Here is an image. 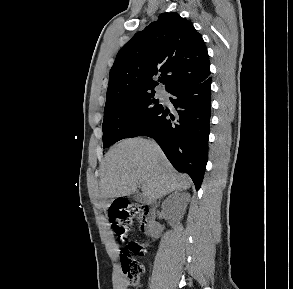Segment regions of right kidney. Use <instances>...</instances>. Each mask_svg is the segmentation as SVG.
<instances>
[{
  "instance_id": "obj_1",
  "label": "right kidney",
  "mask_w": 293,
  "mask_h": 289,
  "mask_svg": "<svg viewBox=\"0 0 293 289\" xmlns=\"http://www.w3.org/2000/svg\"><path fill=\"white\" fill-rule=\"evenodd\" d=\"M185 206L186 201H182L179 194L175 192L163 202L162 209L170 214L173 221H177L182 218Z\"/></svg>"
}]
</instances>
